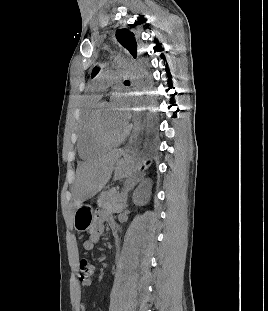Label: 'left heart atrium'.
<instances>
[{"instance_id": "obj_1", "label": "left heart atrium", "mask_w": 268, "mask_h": 311, "mask_svg": "<svg viewBox=\"0 0 268 311\" xmlns=\"http://www.w3.org/2000/svg\"><path fill=\"white\" fill-rule=\"evenodd\" d=\"M111 106L118 117V119L125 125L129 120V108L126 107V101L122 93H115L112 96Z\"/></svg>"}]
</instances>
